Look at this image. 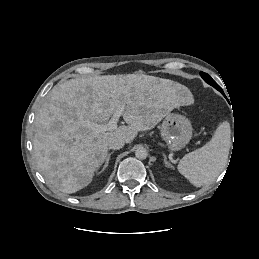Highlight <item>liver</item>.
I'll list each match as a JSON object with an SVG mask.
<instances>
[{
    "label": "liver",
    "instance_id": "liver-1",
    "mask_svg": "<svg viewBox=\"0 0 259 259\" xmlns=\"http://www.w3.org/2000/svg\"><path fill=\"white\" fill-rule=\"evenodd\" d=\"M184 88L144 74L77 77L57 84L34 121L33 150L41 174L63 193L86 187L104 163L113 138L129 144L173 109L194 102ZM119 106L124 107L127 126L96 133L92 126L106 123Z\"/></svg>",
    "mask_w": 259,
    "mask_h": 259
}]
</instances>
